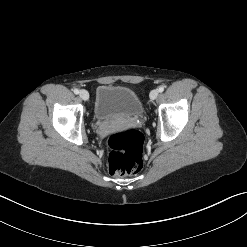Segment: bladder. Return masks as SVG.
<instances>
[{
    "label": "bladder",
    "instance_id": "bladder-1",
    "mask_svg": "<svg viewBox=\"0 0 247 247\" xmlns=\"http://www.w3.org/2000/svg\"><path fill=\"white\" fill-rule=\"evenodd\" d=\"M142 113V101L131 88L110 84H103L97 88L93 108L96 120L135 118Z\"/></svg>",
    "mask_w": 247,
    "mask_h": 247
}]
</instances>
